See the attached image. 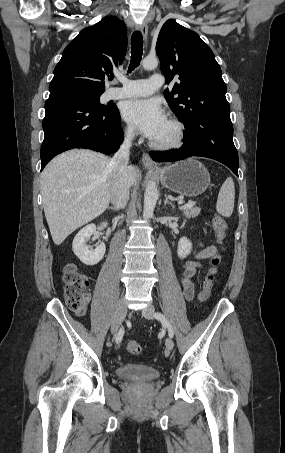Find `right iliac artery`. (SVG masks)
<instances>
[{
    "label": "right iliac artery",
    "instance_id": "82829eb1",
    "mask_svg": "<svg viewBox=\"0 0 285 453\" xmlns=\"http://www.w3.org/2000/svg\"><path fill=\"white\" fill-rule=\"evenodd\" d=\"M124 334V328L122 327L116 337V343H120Z\"/></svg>",
    "mask_w": 285,
    "mask_h": 453
}]
</instances>
